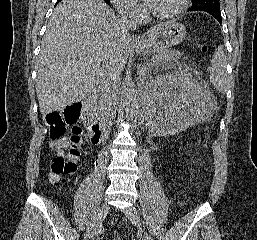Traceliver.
<instances>
[{"instance_id":"obj_1","label":"liver","mask_w":257,"mask_h":240,"mask_svg":"<svg viewBox=\"0 0 257 240\" xmlns=\"http://www.w3.org/2000/svg\"><path fill=\"white\" fill-rule=\"evenodd\" d=\"M118 22L103 0H62L55 7L36 70L42 115L63 111L111 76L121 75L132 43L129 34L119 33Z\"/></svg>"}]
</instances>
